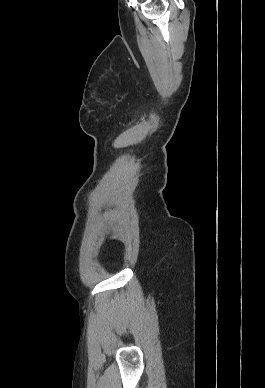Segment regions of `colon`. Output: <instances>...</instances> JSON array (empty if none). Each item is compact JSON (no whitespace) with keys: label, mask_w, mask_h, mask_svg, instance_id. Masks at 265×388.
I'll return each instance as SVG.
<instances>
[{"label":"colon","mask_w":265,"mask_h":388,"mask_svg":"<svg viewBox=\"0 0 265 388\" xmlns=\"http://www.w3.org/2000/svg\"><path fill=\"white\" fill-rule=\"evenodd\" d=\"M112 237H116V235H112Z\"/></svg>","instance_id":"colon-1"}]
</instances>
